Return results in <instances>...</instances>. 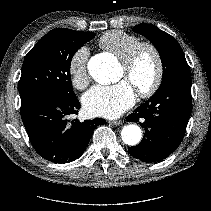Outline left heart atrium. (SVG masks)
Here are the masks:
<instances>
[{"label": "left heart atrium", "mask_w": 211, "mask_h": 211, "mask_svg": "<svg viewBox=\"0 0 211 211\" xmlns=\"http://www.w3.org/2000/svg\"><path fill=\"white\" fill-rule=\"evenodd\" d=\"M135 101V90L127 80L114 85H96L82 98L86 114L106 118L118 117L133 106Z\"/></svg>", "instance_id": "39dd6f15"}]
</instances>
